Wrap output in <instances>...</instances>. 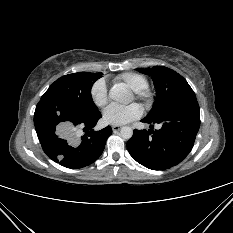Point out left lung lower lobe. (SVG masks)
I'll list each match as a JSON object with an SVG mask.
<instances>
[{
  "instance_id": "left-lung-lower-lobe-1",
  "label": "left lung lower lobe",
  "mask_w": 233,
  "mask_h": 233,
  "mask_svg": "<svg viewBox=\"0 0 233 233\" xmlns=\"http://www.w3.org/2000/svg\"><path fill=\"white\" fill-rule=\"evenodd\" d=\"M142 122L161 124L159 130H134L127 142L130 155L152 170L179 164L192 150L200 127L199 105L193 91L186 93L163 117Z\"/></svg>"
}]
</instances>
